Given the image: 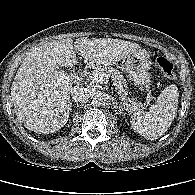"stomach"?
<instances>
[{
    "label": "stomach",
    "mask_w": 195,
    "mask_h": 195,
    "mask_svg": "<svg viewBox=\"0 0 195 195\" xmlns=\"http://www.w3.org/2000/svg\"><path fill=\"white\" fill-rule=\"evenodd\" d=\"M150 66V55L145 50H137L125 59L128 78L142 91L148 90L151 85Z\"/></svg>",
    "instance_id": "stomach-1"
}]
</instances>
